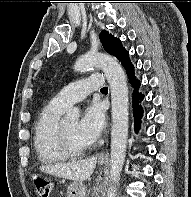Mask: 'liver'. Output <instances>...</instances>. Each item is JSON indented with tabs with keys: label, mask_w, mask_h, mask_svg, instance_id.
Wrapping results in <instances>:
<instances>
[{
	"label": "liver",
	"mask_w": 191,
	"mask_h": 197,
	"mask_svg": "<svg viewBox=\"0 0 191 197\" xmlns=\"http://www.w3.org/2000/svg\"><path fill=\"white\" fill-rule=\"evenodd\" d=\"M96 163L97 158L91 157L80 161L43 165L39 169L41 172L51 174L59 178L83 182L92 175Z\"/></svg>",
	"instance_id": "1"
}]
</instances>
